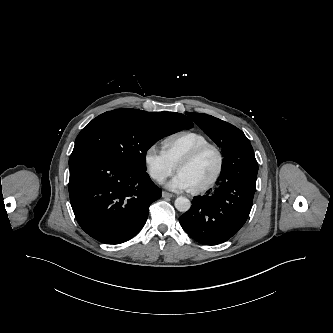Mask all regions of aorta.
Listing matches in <instances>:
<instances>
[{"mask_svg":"<svg viewBox=\"0 0 333 333\" xmlns=\"http://www.w3.org/2000/svg\"><path fill=\"white\" fill-rule=\"evenodd\" d=\"M175 207L178 211L180 212H186L190 209L191 207V202L189 199H187L186 197L183 196H179L176 200H175Z\"/></svg>","mask_w":333,"mask_h":333,"instance_id":"1","label":"aorta"}]
</instances>
